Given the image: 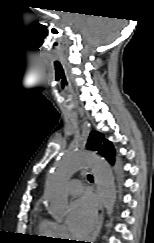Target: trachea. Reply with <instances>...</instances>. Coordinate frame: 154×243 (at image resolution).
I'll use <instances>...</instances> for the list:
<instances>
[{
    "mask_svg": "<svg viewBox=\"0 0 154 243\" xmlns=\"http://www.w3.org/2000/svg\"><path fill=\"white\" fill-rule=\"evenodd\" d=\"M88 180L90 181V182H93V176L92 175H88Z\"/></svg>",
    "mask_w": 154,
    "mask_h": 243,
    "instance_id": "obj_1",
    "label": "trachea"
}]
</instances>
